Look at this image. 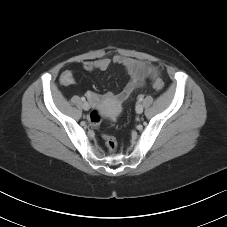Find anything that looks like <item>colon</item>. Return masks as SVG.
Returning <instances> with one entry per match:
<instances>
[{
  "instance_id": "obj_1",
  "label": "colon",
  "mask_w": 227,
  "mask_h": 227,
  "mask_svg": "<svg viewBox=\"0 0 227 227\" xmlns=\"http://www.w3.org/2000/svg\"><path fill=\"white\" fill-rule=\"evenodd\" d=\"M153 87L157 91L164 88V83L160 78H156L153 82ZM89 123L94 128H99L102 123V117L98 110H94L89 116ZM105 144L110 152H114L117 147V142L114 136L106 133L103 135Z\"/></svg>"
}]
</instances>
